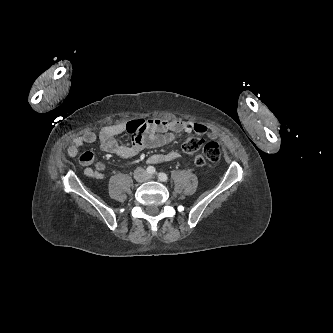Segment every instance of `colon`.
<instances>
[{
  "label": "colon",
  "mask_w": 333,
  "mask_h": 333,
  "mask_svg": "<svg viewBox=\"0 0 333 333\" xmlns=\"http://www.w3.org/2000/svg\"><path fill=\"white\" fill-rule=\"evenodd\" d=\"M203 145V140L199 137L188 138L182 148L186 154H195ZM221 159V149L220 146L215 142H208L204 148L203 153L196 155L194 158L195 164L197 166H205L208 163H218Z\"/></svg>",
  "instance_id": "obj_1"
}]
</instances>
